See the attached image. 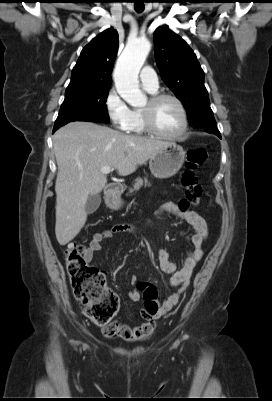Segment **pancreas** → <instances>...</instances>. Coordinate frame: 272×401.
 I'll return each instance as SVG.
<instances>
[{
  "instance_id": "pancreas-1",
  "label": "pancreas",
  "mask_w": 272,
  "mask_h": 401,
  "mask_svg": "<svg viewBox=\"0 0 272 401\" xmlns=\"http://www.w3.org/2000/svg\"><path fill=\"white\" fill-rule=\"evenodd\" d=\"M151 186V184L148 182L146 178L144 180L142 178H136L135 182L133 184V188L129 189V193H133L134 191H138L142 186Z\"/></svg>"
}]
</instances>
